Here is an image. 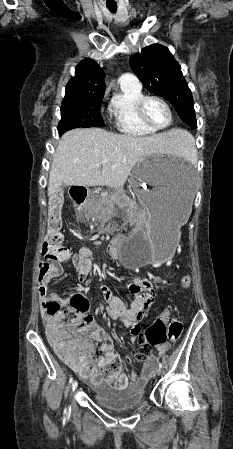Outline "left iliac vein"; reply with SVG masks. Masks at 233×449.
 Listing matches in <instances>:
<instances>
[{"mask_svg":"<svg viewBox=\"0 0 233 449\" xmlns=\"http://www.w3.org/2000/svg\"><path fill=\"white\" fill-rule=\"evenodd\" d=\"M156 373H157L158 375H161V374H162V368L158 367V368L156 369Z\"/></svg>","mask_w":233,"mask_h":449,"instance_id":"1","label":"left iliac vein"}]
</instances>
